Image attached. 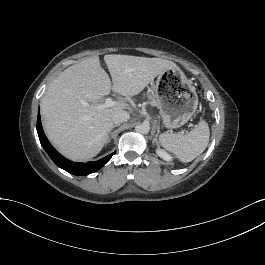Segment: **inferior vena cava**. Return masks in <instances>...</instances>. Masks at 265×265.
<instances>
[{"label":"inferior vena cava","instance_id":"1","mask_svg":"<svg viewBox=\"0 0 265 265\" xmlns=\"http://www.w3.org/2000/svg\"><path fill=\"white\" fill-rule=\"evenodd\" d=\"M129 118H130L129 113L124 110H118L112 114V122L114 124H121L125 121H128Z\"/></svg>","mask_w":265,"mask_h":265}]
</instances>
